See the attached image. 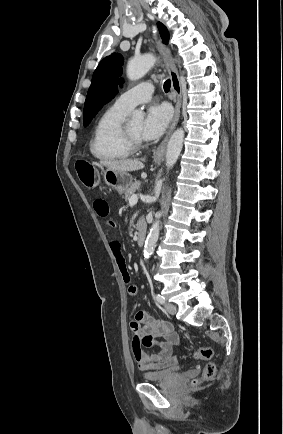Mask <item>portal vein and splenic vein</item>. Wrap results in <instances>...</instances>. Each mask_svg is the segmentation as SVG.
Returning <instances> with one entry per match:
<instances>
[{
  "mask_svg": "<svg viewBox=\"0 0 283 434\" xmlns=\"http://www.w3.org/2000/svg\"><path fill=\"white\" fill-rule=\"evenodd\" d=\"M137 202H138V196H137V195H132V196L129 198V205H130V206H134V205H136Z\"/></svg>",
  "mask_w": 283,
  "mask_h": 434,
  "instance_id": "1",
  "label": "portal vein and splenic vein"
}]
</instances>
